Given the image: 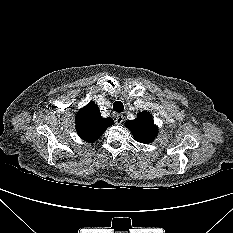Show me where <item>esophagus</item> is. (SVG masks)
<instances>
[{"mask_svg":"<svg viewBox=\"0 0 233 233\" xmlns=\"http://www.w3.org/2000/svg\"><path fill=\"white\" fill-rule=\"evenodd\" d=\"M123 120H124V116L122 114H118L116 116L115 122H116L117 125H120V124H122Z\"/></svg>","mask_w":233,"mask_h":233,"instance_id":"34e87169","label":"esophagus"}]
</instances>
